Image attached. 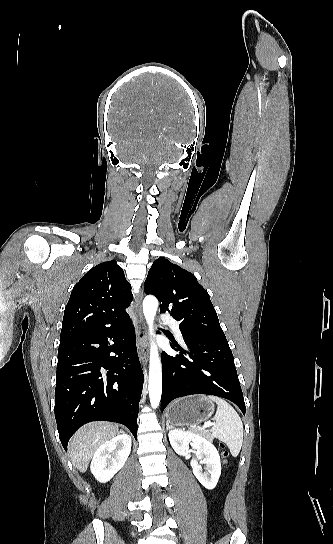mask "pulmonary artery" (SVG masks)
<instances>
[{
    "label": "pulmonary artery",
    "instance_id": "obj_1",
    "mask_svg": "<svg viewBox=\"0 0 333 544\" xmlns=\"http://www.w3.org/2000/svg\"><path fill=\"white\" fill-rule=\"evenodd\" d=\"M162 319H163L166 323L170 324V325L172 326V328H173V330H174L176 336H177L178 338L182 339V334H181V331H180V328H179V323H178L175 319H173L172 317H170V316H163Z\"/></svg>",
    "mask_w": 333,
    "mask_h": 544
}]
</instances>
